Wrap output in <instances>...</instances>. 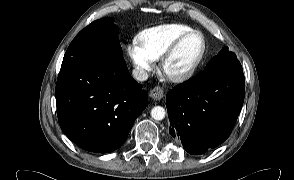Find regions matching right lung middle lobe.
Returning a JSON list of instances; mask_svg holds the SVG:
<instances>
[{
  "label": "right lung middle lobe",
  "mask_w": 294,
  "mask_h": 180,
  "mask_svg": "<svg viewBox=\"0 0 294 180\" xmlns=\"http://www.w3.org/2000/svg\"><path fill=\"white\" fill-rule=\"evenodd\" d=\"M110 53H122L118 28L110 18H103L92 22L78 33L68 47L62 65L79 57Z\"/></svg>",
  "instance_id": "dd1d6c3e"
}]
</instances>
